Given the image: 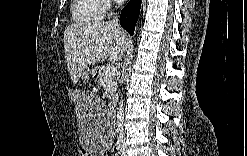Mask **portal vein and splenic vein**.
<instances>
[{"mask_svg": "<svg viewBox=\"0 0 247 156\" xmlns=\"http://www.w3.org/2000/svg\"><path fill=\"white\" fill-rule=\"evenodd\" d=\"M116 72H117V69H116V67H114L113 65H109V66H107L106 69H105V73H106L107 75H115Z\"/></svg>", "mask_w": 247, "mask_h": 156, "instance_id": "portal-vein-and-splenic-vein-1", "label": "portal vein and splenic vein"}]
</instances>
